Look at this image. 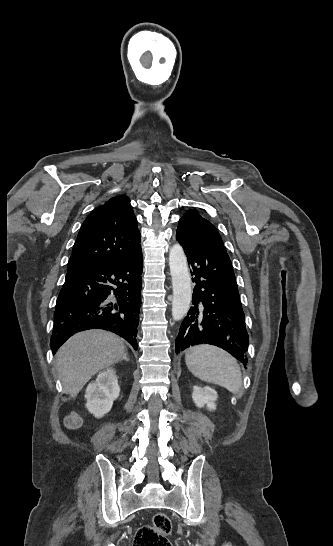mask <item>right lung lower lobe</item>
<instances>
[{
    "instance_id": "1",
    "label": "right lung lower lobe",
    "mask_w": 333,
    "mask_h": 546,
    "mask_svg": "<svg viewBox=\"0 0 333 546\" xmlns=\"http://www.w3.org/2000/svg\"><path fill=\"white\" fill-rule=\"evenodd\" d=\"M141 274V247L126 259L68 272L54 312L53 354L74 333L94 328L123 337L137 350Z\"/></svg>"
}]
</instances>
